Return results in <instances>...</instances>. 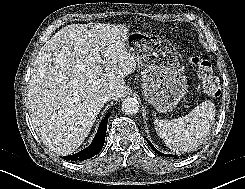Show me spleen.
I'll return each mask as SVG.
<instances>
[{
  "label": "spleen",
  "mask_w": 245,
  "mask_h": 189,
  "mask_svg": "<svg viewBox=\"0 0 245 189\" xmlns=\"http://www.w3.org/2000/svg\"><path fill=\"white\" fill-rule=\"evenodd\" d=\"M215 114L214 103L207 100L178 119H156L154 126L158 136L171 150L190 152L197 149L209 136Z\"/></svg>",
  "instance_id": "obj_1"
}]
</instances>
